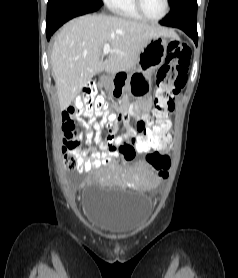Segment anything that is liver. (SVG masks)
<instances>
[{"mask_svg":"<svg viewBox=\"0 0 238 278\" xmlns=\"http://www.w3.org/2000/svg\"><path fill=\"white\" fill-rule=\"evenodd\" d=\"M157 36L176 34L160 26L107 15H85L65 24L51 53L60 109H67L96 74L133 69L148 41ZM105 43L110 45V52L103 61Z\"/></svg>","mask_w":238,"mask_h":278,"instance_id":"6515ba94","label":"liver"}]
</instances>
